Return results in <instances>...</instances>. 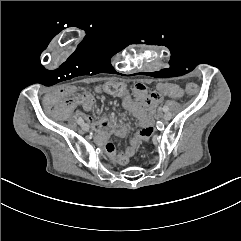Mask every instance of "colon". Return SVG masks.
Here are the masks:
<instances>
[{
  "mask_svg": "<svg viewBox=\"0 0 241 241\" xmlns=\"http://www.w3.org/2000/svg\"><path fill=\"white\" fill-rule=\"evenodd\" d=\"M125 82L123 79H107L104 82L103 91L108 93L109 97H116L117 93L123 91ZM185 90L189 94H195L198 91V86L196 84H187ZM175 92V87L171 83L160 84L158 86V93L160 95H172Z\"/></svg>",
  "mask_w": 241,
  "mask_h": 241,
  "instance_id": "colon-1",
  "label": "colon"
}]
</instances>
